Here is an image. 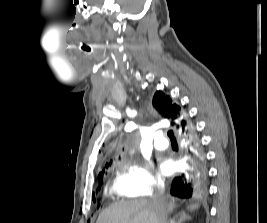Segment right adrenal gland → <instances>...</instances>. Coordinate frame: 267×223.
Segmentation results:
<instances>
[{
  "mask_svg": "<svg viewBox=\"0 0 267 223\" xmlns=\"http://www.w3.org/2000/svg\"><path fill=\"white\" fill-rule=\"evenodd\" d=\"M191 220V216L186 212H181L175 217H173L170 223H184L185 221Z\"/></svg>",
  "mask_w": 267,
  "mask_h": 223,
  "instance_id": "1",
  "label": "right adrenal gland"
}]
</instances>
